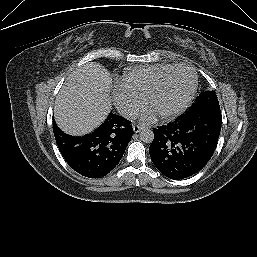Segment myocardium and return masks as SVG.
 I'll list each match as a JSON object with an SVG mask.
<instances>
[{
  "mask_svg": "<svg viewBox=\"0 0 257 257\" xmlns=\"http://www.w3.org/2000/svg\"><path fill=\"white\" fill-rule=\"evenodd\" d=\"M178 69H187L191 72L192 78H193L192 84H191L189 92L187 93L185 98L176 107H174L173 109L166 111V112L157 113L159 115V117H161L163 119L172 118V117L178 115L179 113H181L185 108H187L188 105L191 103V101L196 93V90H197L198 77H197V73H196L195 69L187 64L174 65L171 68H169L168 70H166L164 73H162L158 77V79L154 82V84L152 85L151 89L149 90V92L146 96L147 106L151 108L152 100H153L154 96L158 93V91L160 90L165 79L172 72H174Z\"/></svg>",
  "mask_w": 257,
  "mask_h": 257,
  "instance_id": "f54148a6",
  "label": "myocardium"
}]
</instances>
